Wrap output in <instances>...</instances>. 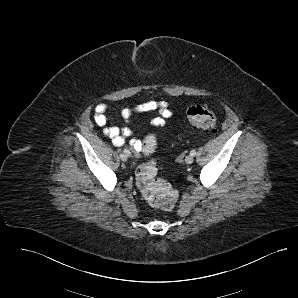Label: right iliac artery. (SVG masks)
I'll return each mask as SVG.
<instances>
[{
	"instance_id": "82829eb1",
	"label": "right iliac artery",
	"mask_w": 298,
	"mask_h": 298,
	"mask_svg": "<svg viewBox=\"0 0 298 298\" xmlns=\"http://www.w3.org/2000/svg\"><path fill=\"white\" fill-rule=\"evenodd\" d=\"M124 153L127 155V156H130V151L128 149H124Z\"/></svg>"
}]
</instances>
